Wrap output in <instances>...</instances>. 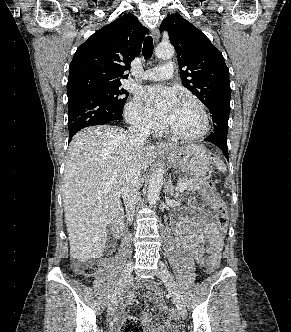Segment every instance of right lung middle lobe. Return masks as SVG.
Wrapping results in <instances>:
<instances>
[{
	"mask_svg": "<svg viewBox=\"0 0 291 332\" xmlns=\"http://www.w3.org/2000/svg\"><path fill=\"white\" fill-rule=\"evenodd\" d=\"M120 85L121 84H115V85L100 84L94 86L93 88L88 90V92L100 95L106 98L109 102L113 103L119 109H123L129 93L123 88H121Z\"/></svg>",
	"mask_w": 291,
	"mask_h": 332,
	"instance_id": "dd1d6c3e",
	"label": "right lung middle lobe"
}]
</instances>
